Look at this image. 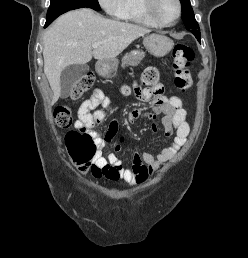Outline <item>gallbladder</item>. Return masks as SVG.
<instances>
[{
	"label": "gallbladder",
	"instance_id": "obj_1",
	"mask_svg": "<svg viewBox=\"0 0 248 258\" xmlns=\"http://www.w3.org/2000/svg\"><path fill=\"white\" fill-rule=\"evenodd\" d=\"M88 71L89 66L86 64H72L67 66L60 76L61 97L67 98L74 86Z\"/></svg>",
	"mask_w": 248,
	"mask_h": 258
}]
</instances>
